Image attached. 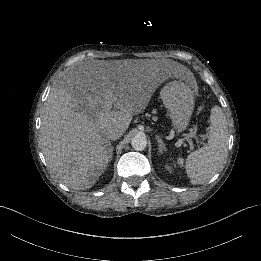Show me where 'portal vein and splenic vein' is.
Instances as JSON below:
<instances>
[{"label": "portal vein and splenic vein", "mask_w": 261, "mask_h": 261, "mask_svg": "<svg viewBox=\"0 0 261 261\" xmlns=\"http://www.w3.org/2000/svg\"><path fill=\"white\" fill-rule=\"evenodd\" d=\"M209 135L208 131H203L202 133H189L187 136H184L183 139L177 141L175 143V147L179 148L183 144H185L188 141V144L190 146V151H193L194 149V144L192 141H195L196 143V148L200 149L201 148V141L200 139H204L206 136Z\"/></svg>", "instance_id": "18ae733b"}]
</instances>
